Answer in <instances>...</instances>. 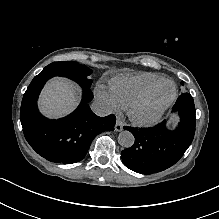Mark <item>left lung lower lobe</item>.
Listing matches in <instances>:
<instances>
[{
    "mask_svg": "<svg viewBox=\"0 0 219 219\" xmlns=\"http://www.w3.org/2000/svg\"><path fill=\"white\" fill-rule=\"evenodd\" d=\"M173 112H178L180 122L174 130L163 121L149 128L124 127L135 137V143L122 151L124 165L141 174L161 172L174 165L193 141L196 118L192 96L183 93L177 99Z\"/></svg>",
    "mask_w": 219,
    "mask_h": 219,
    "instance_id": "1",
    "label": "left lung lower lobe"
}]
</instances>
